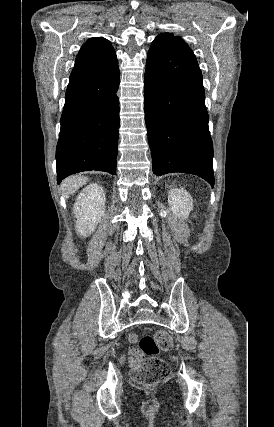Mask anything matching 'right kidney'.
I'll return each instance as SVG.
<instances>
[{
    "instance_id": "1",
    "label": "right kidney",
    "mask_w": 274,
    "mask_h": 427,
    "mask_svg": "<svg viewBox=\"0 0 274 427\" xmlns=\"http://www.w3.org/2000/svg\"><path fill=\"white\" fill-rule=\"evenodd\" d=\"M105 192L98 184H90L80 192L74 204L73 214L76 217V231L88 237L96 229L99 219L105 212Z\"/></svg>"
}]
</instances>
